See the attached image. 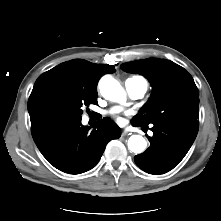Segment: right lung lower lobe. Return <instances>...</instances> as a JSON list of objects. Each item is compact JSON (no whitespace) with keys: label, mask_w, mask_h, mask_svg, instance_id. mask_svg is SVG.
<instances>
[{"label":"right lung lower lobe","mask_w":221,"mask_h":221,"mask_svg":"<svg viewBox=\"0 0 221 221\" xmlns=\"http://www.w3.org/2000/svg\"><path fill=\"white\" fill-rule=\"evenodd\" d=\"M82 117H52L32 126L33 139L43 156L57 169L80 174L100 160L107 143L121 135L120 128L108 118L96 127L81 124Z\"/></svg>","instance_id":"right-lung-lower-lobe-1"}]
</instances>
